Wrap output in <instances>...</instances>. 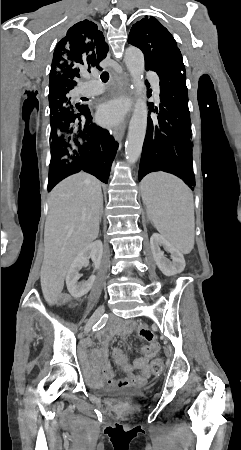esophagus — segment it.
Segmentation results:
<instances>
[{
	"label": "esophagus",
	"mask_w": 241,
	"mask_h": 450,
	"mask_svg": "<svg viewBox=\"0 0 241 450\" xmlns=\"http://www.w3.org/2000/svg\"><path fill=\"white\" fill-rule=\"evenodd\" d=\"M112 74L115 77V83L118 87L117 92L124 93L125 91H127V89L129 88V77L125 74H118L115 70H112ZM112 131L114 138L118 141L122 139L125 133L123 125L115 126Z\"/></svg>",
	"instance_id": "obj_1"
}]
</instances>
